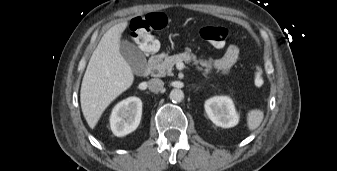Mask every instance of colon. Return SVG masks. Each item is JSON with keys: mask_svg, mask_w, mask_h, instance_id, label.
Listing matches in <instances>:
<instances>
[{"mask_svg": "<svg viewBox=\"0 0 337 171\" xmlns=\"http://www.w3.org/2000/svg\"><path fill=\"white\" fill-rule=\"evenodd\" d=\"M165 26V16L161 13H152L135 17L130 28L136 44L142 50L152 52L157 48L155 33ZM200 36L215 46H221L229 39V32L221 26L206 25L200 29ZM253 83L256 87H261L265 83L263 69L259 65L253 68Z\"/></svg>", "mask_w": 337, "mask_h": 171, "instance_id": "obj_1", "label": "colon"}]
</instances>
